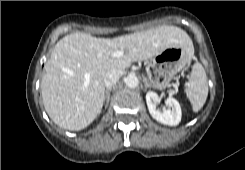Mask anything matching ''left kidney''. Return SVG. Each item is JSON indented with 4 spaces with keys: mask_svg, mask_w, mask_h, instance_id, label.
Here are the masks:
<instances>
[{
    "mask_svg": "<svg viewBox=\"0 0 245 170\" xmlns=\"http://www.w3.org/2000/svg\"><path fill=\"white\" fill-rule=\"evenodd\" d=\"M160 102V98L157 93L149 91L146 94V103L148 106L149 113L158 122L169 126H176L180 123L182 117V111L179 102L169 97L166 99L165 104L168 109L160 111L156 108Z\"/></svg>",
    "mask_w": 245,
    "mask_h": 170,
    "instance_id": "1",
    "label": "left kidney"
}]
</instances>
